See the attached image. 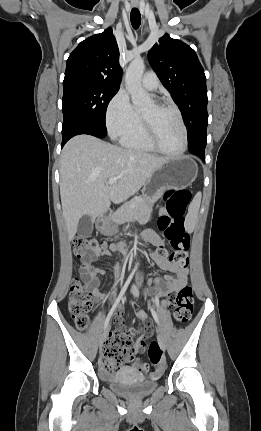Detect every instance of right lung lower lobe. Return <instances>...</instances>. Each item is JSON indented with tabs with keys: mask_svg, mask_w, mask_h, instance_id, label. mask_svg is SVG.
I'll use <instances>...</instances> for the list:
<instances>
[{
	"mask_svg": "<svg viewBox=\"0 0 261 431\" xmlns=\"http://www.w3.org/2000/svg\"><path fill=\"white\" fill-rule=\"evenodd\" d=\"M92 134L89 128L79 121L69 120L64 121L62 126V147L73 136L79 134ZM94 134V133H93Z\"/></svg>",
	"mask_w": 261,
	"mask_h": 431,
	"instance_id": "1",
	"label": "right lung lower lobe"
}]
</instances>
